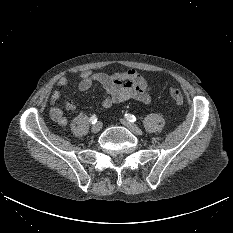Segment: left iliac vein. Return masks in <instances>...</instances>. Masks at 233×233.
Here are the masks:
<instances>
[{
  "mask_svg": "<svg viewBox=\"0 0 233 233\" xmlns=\"http://www.w3.org/2000/svg\"><path fill=\"white\" fill-rule=\"evenodd\" d=\"M121 123L128 128L132 133L141 135L142 131L141 129L135 125L134 123L129 122L128 120L121 119Z\"/></svg>",
  "mask_w": 233,
  "mask_h": 233,
  "instance_id": "4c4485c4",
  "label": "left iliac vein"
}]
</instances>
